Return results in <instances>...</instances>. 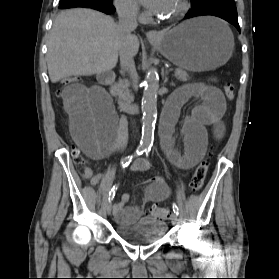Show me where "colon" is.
<instances>
[{
    "label": "colon",
    "mask_w": 279,
    "mask_h": 279,
    "mask_svg": "<svg viewBox=\"0 0 279 279\" xmlns=\"http://www.w3.org/2000/svg\"><path fill=\"white\" fill-rule=\"evenodd\" d=\"M78 82H79L78 77H71V78H65L61 80L60 85L62 88H65L69 85L76 84ZM224 92L228 99L234 98V86L231 83L225 84ZM73 158H74V163L77 166H85L87 164V160L85 159V157H83L77 150L73 151ZM208 170H209L208 158L203 159L195 167L194 172L192 174L191 183H190L193 192L197 193L202 189ZM148 214L160 220L167 219L170 217V212L168 209L156 205H152L148 208Z\"/></svg>",
    "instance_id": "colon-1"
}]
</instances>
